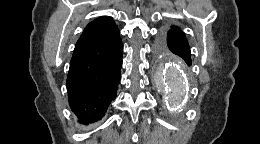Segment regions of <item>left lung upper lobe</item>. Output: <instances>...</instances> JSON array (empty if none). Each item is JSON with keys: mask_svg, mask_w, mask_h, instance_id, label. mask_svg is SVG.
<instances>
[{"mask_svg": "<svg viewBox=\"0 0 260 144\" xmlns=\"http://www.w3.org/2000/svg\"><path fill=\"white\" fill-rule=\"evenodd\" d=\"M170 30H180V29H179L178 27H176V26H172V28H171ZM180 31H181V30H180ZM160 49H161L162 51H167V50H169L167 44H165V43H160Z\"/></svg>", "mask_w": 260, "mask_h": 144, "instance_id": "obj_1", "label": "left lung upper lobe"}]
</instances>
